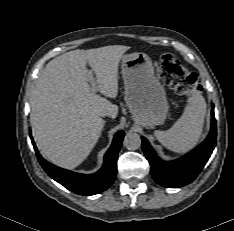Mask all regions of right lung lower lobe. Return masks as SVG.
<instances>
[{"mask_svg":"<svg viewBox=\"0 0 234 231\" xmlns=\"http://www.w3.org/2000/svg\"><path fill=\"white\" fill-rule=\"evenodd\" d=\"M123 137V131L116 133L111 147L105 154L103 167L98 172L88 175L68 171L48 163L39 154L33 139L32 143L41 166L51 178L74 193L89 196L103 192L114 182L118 152L121 148Z\"/></svg>","mask_w":234,"mask_h":231,"instance_id":"right-lung-lower-lobe-1","label":"right lung lower lobe"}]
</instances>
